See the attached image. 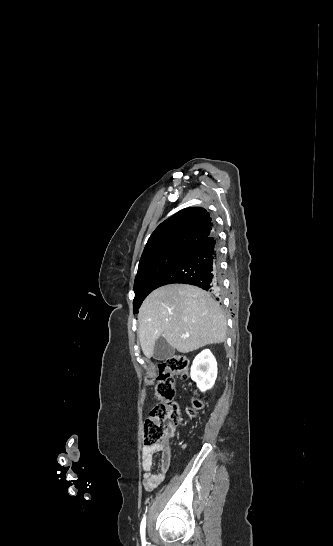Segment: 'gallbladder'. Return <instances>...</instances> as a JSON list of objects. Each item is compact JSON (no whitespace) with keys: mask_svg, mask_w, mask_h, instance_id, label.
I'll use <instances>...</instances> for the list:
<instances>
[{"mask_svg":"<svg viewBox=\"0 0 333 546\" xmlns=\"http://www.w3.org/2000/svg\"><path fill=\"white\" fill-rule=\"evenodd\" d=\"M175 354V349L170 346L163 337H160L154 346L152 357L157 361H163L172 357Z\"/></svg>","mask_w":333,"mask_h":546,"instance_id":"1","label":"gallbladder"}]
</instances>
